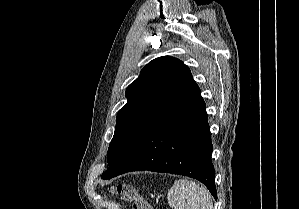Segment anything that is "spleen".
<instances>
[{
	"label": "spleen",
	"instance_id": "3e777b00",
	"mask_svg": "<svg viewBox=\"0 0 299 209\" xmlns=\"http://www.w3.org/2000/svg\"><path fill=\"white\" fill-rule=\"evenodd\" d=\"M167 199L174 209H213L208 189L191 180H176L168 191Z\"/></svg>",
	"mask_w": 299,
	"mask_h": 209
}]
</instances>
